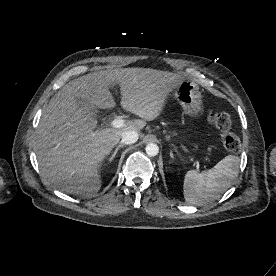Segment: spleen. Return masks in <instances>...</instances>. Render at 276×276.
Listing matches in <instances>:
<instances>
[{
  "label": "spleen",
  "instance_id": "3e777b00",
  "mask_svg": "<svg viewBox=\"0 0 276 276\" xmlns=\"http://www.w3.org/2000/svg\"><path fill=\"white\" fill-rule=\"evenodd\" d=\"M239 161L238 156L228 155L209 170L188 171L183 183L186 203L200 206L218 199L237 177Z\"/></svg>",
  "mask_w": 276,
  "mask_h": 276
}]
</instances>
